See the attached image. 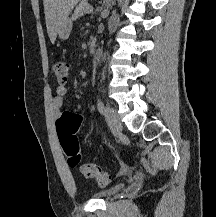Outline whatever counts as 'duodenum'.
I'll list each match as a JSON object with an SVG mask.
<instances>
[{
    "label": "duodenum",
    "instance_id": "duodenum-1",
    "mask_svg": "<svg viewBox=\"0 0 216 217\" xmlns=\"http://www.w3.org/2000/svg\"><path fill=\"white\" fill-rule=\"evenodd\" d=\"M97 47V39L91 38L89 41V51L90 53H94Z\"/></svg>",
    "mask_w": 216,
    "mask_h": 217
}]
</instances>
